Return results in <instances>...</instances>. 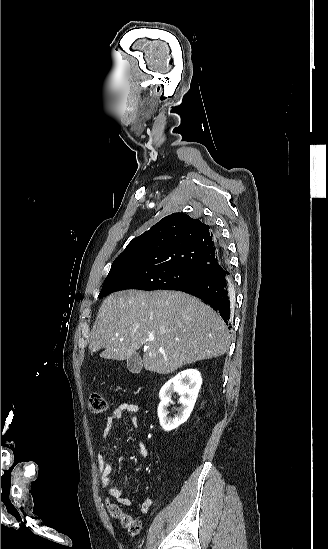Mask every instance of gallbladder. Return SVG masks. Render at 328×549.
I'll return each mask as SVG.
<instances>
[{
  "label": "gallbladder",
  "instance_id": "gallbladder-1",
  "mask_svg": "<svg viewBox=\"0 0 328 549\" xmlns=\"http://www.w3.org/2000/svg\"><path fill=\"white\" fill-rule=\"evenodd\" d=\"M127 369L130 373H140L142 371V361L139 353H134L126 361Z\"/></svg>",
  "mask_w": 328,
  "mask_h": 549
}]
</instances>
